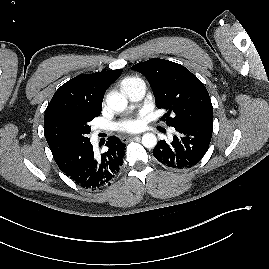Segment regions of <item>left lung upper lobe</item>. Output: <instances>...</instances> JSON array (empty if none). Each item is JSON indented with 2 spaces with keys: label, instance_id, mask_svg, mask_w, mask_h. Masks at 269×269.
Listing matches in <instances>:
<instances>
[{
  "label": "left lung upper lobe",
  "instance_id": "5c2ea615",
  "mask_svg": "<svg viewBox=\"0 0 269 269\" xmlns=\"http://www.w3.org/2000/svg\"><path fill=\"white\" fill-rule=\"evenodd\" d=\"M149 81L156 106L166 110V124H212L213 106L203 83L184 66L152 58L132 66Z\"/></svg>",
  "mask_w": 269,
  "mask_h": 269
}]
</instances>
